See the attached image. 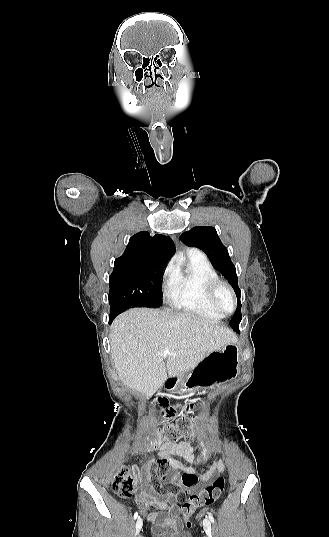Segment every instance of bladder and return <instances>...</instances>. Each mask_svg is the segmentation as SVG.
<instances>
[{
    "instance_id": "obj_1",
    "label": "bladder",
    "mask_w": 329,
    "mask_h": 537,
    "mask_svg": "<svg viewBox=\"0 0 329 537\" xmlns=\"http://www.w3.org/2000/svg\"><path fill=\"white\" fill-rule=\"evenodd\" d=\"M151 537H193L189 531L162 530L153 532Z\"/></svg>"
}]
</instances>
